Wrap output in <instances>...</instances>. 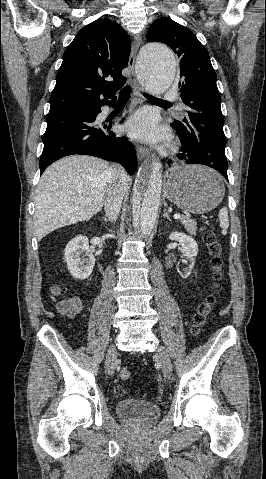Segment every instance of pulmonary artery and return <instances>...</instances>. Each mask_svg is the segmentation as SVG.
Listing matches in <instances>:
<instances>
[{"mask_svg": "<svg viewBox=\"0 0 266 479\" xmlns=\"http://www.w3.org/2000/svg\"><path fill=\"white\" fill-rule=\"evenodd\" d=\"M177 95H178L177 89L169 87L163 92V99L174 100L177 98Z\"/></svg>", "mask_w": 266, "mask_h": 479, "instance_id": "e3ab8cb5", "label": "pulmonary artery"}]
</instances>
